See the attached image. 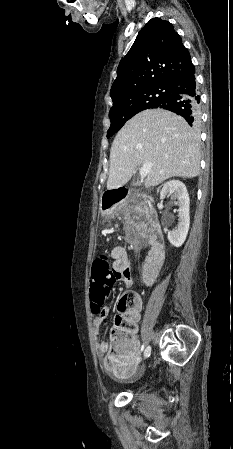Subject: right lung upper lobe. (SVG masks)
Segmentation results:
<instances>
[{
    "label": "right lung upper lobe",
    "mask_w": 233,
    "mask_h": 449,
    "mask_svg": "<svg viewBox=\"0 0 233 449\" xmlns=\"http://www.w3.org/2000/svg\"><path fill=\"white\" fill-rule=\"evenodd\" d=\"M195 71L189 51L173 25L151 19L138 33L129 52L120 61L110 97L173 80Z\"/></svg>",
    "instance_id": "obj_1"
}]
</instances>
